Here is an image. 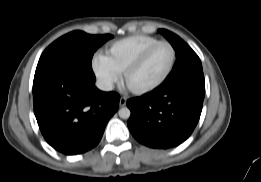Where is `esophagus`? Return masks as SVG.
I'll return each instance as SVG.
<instances>
[{"label":"esophagus","instance_id":"esophagus-1","mask_svg":"<svg viewBox=\"0 0 261 182\" xmlns=\"http://www.w3.org/2000/svg\"><path fill=\"white\" fill-rule=\"evenodd\" d=\"M127 98L126 97H121L119 101V106L124 107L126 105Z\"/></svg>","mask_w":261,"mask_h":182}]
</instances>
